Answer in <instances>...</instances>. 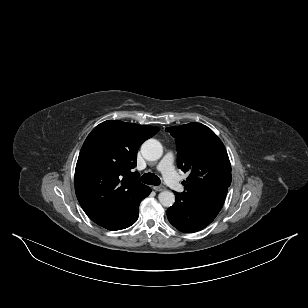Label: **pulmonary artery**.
I'll return each mask as SVG.
<instances>
[{
	"mask_svg": "<svg viewBox=\"0 0 308 308\" xmlns=\"http://www.w3.org/2000/svg\"><path fill=\"white\" fill-rule=\"evenodd\" d=\"M157 169L162 173L164 180L172 189L178 192L183 191V186L173 167L172 153L169 152L163 157L158 164Z\"/></svg>",
	"mask_w": 308,
	"mask_h": 308,
	"instance_id": "e3ab8cb5",
	"label": "pulmonary artery"
}]
</instances>
